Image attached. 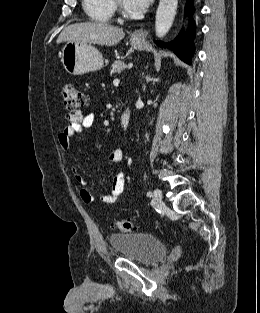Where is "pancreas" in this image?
I'll use <instances>...</instances> for the list:
<instances>
[{
    "label": "pancreas",
    "instance_id": "cf45deb5",
    "mask_svg": "<svg viewBox=\"0 0 260 313\" xmlns=\"http://www.w3.org/2000/svg\"><path fill=\"white\" fill-rule=\"evenodd\" d=\"M126 64L122 61H115L113 63V65L111 66V75L113 73H116V74H120L125 68H126Z\"/></svg>",
    "mask_w": 260,
    "mask_h": 313
}]
</instances>
